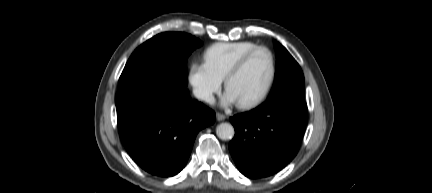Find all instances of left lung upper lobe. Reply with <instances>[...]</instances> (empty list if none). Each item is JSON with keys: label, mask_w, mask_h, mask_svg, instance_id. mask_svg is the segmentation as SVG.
<instances>
[{"label": "left lung upper lobe", "mask_w": 432, "mask_h": 193, "mask_svg": "<svg viewBox=\"0 0 432 193\" xmlns=\"http://www.w3.org/2000/svg\"><path fill=\"white\" fill-rule=\"evenodd\" d=\"M276 74L268 100L274 98L304 100V75L299 64L278 42H275Z\"/></svg>", "instance_id": "5c2ea615"}]
</instances>
